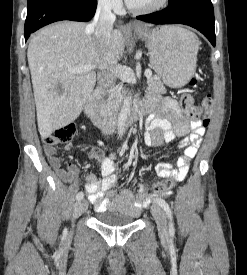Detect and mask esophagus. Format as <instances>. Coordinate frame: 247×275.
<instances>
[{"instance_id":"1","label":"esophagus","mask_w":247,"mask_h":275,"mask_svg":"<svg viewBox=\"0 0 247 275\" xmlns=\"http://www.w3.org/2000/svg\"><path fill=\"white\" fill-rule=\"evenodd\" d=\"M133 26H135V27H139V24H137V23H133Z\"/></svg>"}]
</instances>
